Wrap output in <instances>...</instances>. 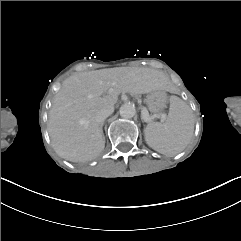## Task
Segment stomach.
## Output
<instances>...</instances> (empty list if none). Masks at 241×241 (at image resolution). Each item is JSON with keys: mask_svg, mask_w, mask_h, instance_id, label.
I'll use <instances>...</instances> for the list:
<instances>
[{"mask_svg": "<svg viewBox=\"0 0 241 241\" xmlns=\"http://www.w3.org/2000/svg\"><path fill=\"white\" fill-rule=\"evenodd\" d=\"M146 104L153 113L161 112L167 104V97L163 91H154L147 95Z\"/></svg>", "mask_w": 241, "mask_h": 241, "instance_id": "0dacf381", "label": "stomach"}]
</instances>
